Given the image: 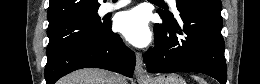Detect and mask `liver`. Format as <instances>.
<instances>
[{
    "label": "liver",
    "mask_w": 260,
    "mask_h": 84,
    "mask_svg": "<svg viewBox=\"0 0 260 84\" xmlns=\"http://www.w3.org/2000/svg\"><path fill=\"white\" fill-rule=\"evenodd\" d=\"M119 75L95 68L80 69L63 77L58 84H117Z\"/></svg>",
    "instance_id": "obj_1"
}]
</instances>
